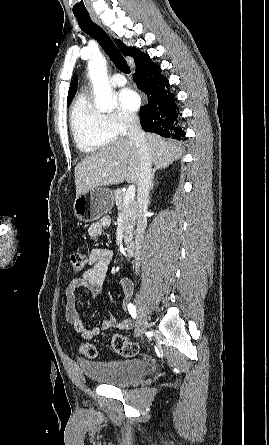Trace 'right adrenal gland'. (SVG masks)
I'll return each mask as SVG.
<instances>
[{
  "instance_id": "obj_1",
  "label": "right adrenal gland",
  "mask_w": 269,
  "mask_h": 445,
  "mask_svg": "<svg viewBox=\"0 0 269 445\" xmlns=\"http://www.w3.org/2000/svg\"><path fill=\"white\" fill-rule=\"evenodd\" d=\"M168 166H169V164H164V165H162V166H160V167H155V168L153 169V171H152V175H151V177H152V180H151V189H153V187H154V177H155V173H156V171H157V170H160V169H166Z\"/></svg>"
}]
</instances>
